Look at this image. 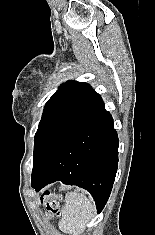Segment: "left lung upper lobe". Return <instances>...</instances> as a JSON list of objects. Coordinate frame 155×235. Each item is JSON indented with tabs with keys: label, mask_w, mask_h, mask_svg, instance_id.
Wrapping results in <instances>:
<instances>
[{
	"label": "left lung upper lobe",
	"mask_w": 155,
	"mask_h": 235,
	"mask_svg": "<svg viewBox=\"0 0 155 235\" xmlns=\"http://www.w3.org/2000/svg\"><path fill=\"white\" fill-rule=\"evenodd\" d=\"M89 84L67 81L45 104L34 138L32 175L36 174L58 144L100 103Z\"/></svg>",
	"instance_id": "left-lung-upper-lobe-1"
}]
</instances>
